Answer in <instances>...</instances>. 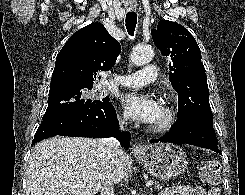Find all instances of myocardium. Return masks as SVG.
Returning a JSON list of instances; mask_svg holds the SVG:
<instances>
[{"label":"myocardium","mask_w":245,"mask_h":195,"mask_svg":"<svg viewBox=\"0 0 245 195\" xmlns=\"http://www.w3.org/2000/svg\"><path fill=\"white\" fill-rule=\"evenodd\" d=\"M164 112L163 119L157 123L150 126V131L152 133H164L172 129L179 120V112L175 105L171 103L164 102L162 105Z\"/></svg>","instance_id":"myocardium-1"}]
</instances>
